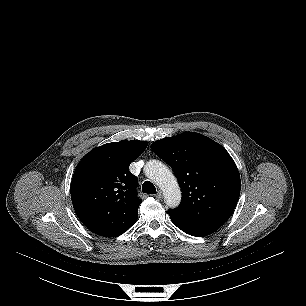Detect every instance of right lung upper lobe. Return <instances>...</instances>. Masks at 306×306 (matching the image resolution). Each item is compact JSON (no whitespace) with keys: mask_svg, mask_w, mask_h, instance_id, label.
<instances>
[{"mask_svg":"<svg viewBox=\"0 0 306 306\" xmlns=\"http://www.w3.org/2000/svg\"><path fill=\"white\" fill-rule=\"evenodd\" d=\"M148 143L122 140L90 151L78 164L71 182V199L81 222L93 233L115 237L138 218L142 202L137 197V178L129 164Z\"/></svg>","mask_w":306,"mask_h":306,"instance_id":"cb5924a9","label":"right lung upper lobe"}]
</instances>
